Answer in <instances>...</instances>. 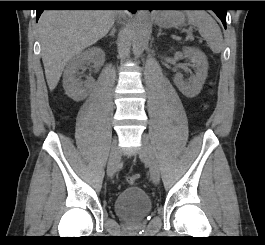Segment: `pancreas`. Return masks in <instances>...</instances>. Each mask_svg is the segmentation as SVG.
<instances>
[{"mask_svg": "<svg viewBox=\"0 0 265 245\" xmlns=\"http://www.w3.org/2000/svg\"><path fill=\"white\" fill-rule=\"evenodd\" d=\"M190 39L193 40V37L191 36Z\"/></svg>", "mask_w": 265, "mask_h": 245, "instance_id": "cf45deb5", "label": "pancreas"}]
</instances>
